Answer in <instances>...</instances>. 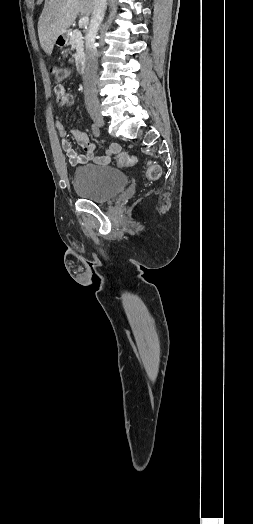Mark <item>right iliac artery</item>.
Here are the masks:
<instances>
[{
	"label": "right iliac artery",
	"mask_w": 253,
	"mask_h": 524,
	"mask_svg": "<svg viewBox=\"0 0 253 524\" xmlns=\"http://www.w3.org/2000/svg\"><path fill=\"white\" fill-rule=\"evenodd\" d=\"M91 129L94 136L98 137L100 135V130L97 124H92Z\"/></svg>",
	"instance_id": "82829eb1"
}]
</instances>
